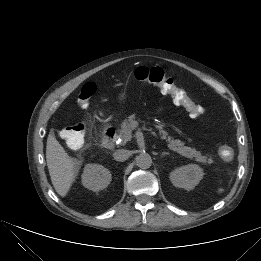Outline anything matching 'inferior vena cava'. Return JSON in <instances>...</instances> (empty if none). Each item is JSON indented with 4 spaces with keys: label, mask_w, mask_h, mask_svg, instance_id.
<instances>
[{
    "label": "inferior vena cava",
    "mask_w": 261,
    "mask_h": 261,
    "mask_svg": "<svg viewBox=\"0 0 261 261\" xmlns=\"http://www.w3.org/2000/svg\"><path fill=\"white\" fill-rule=\"evenodd\" d=\"M130 155H131V152L128 150H125V149L116 150L113 154L114 159L116 161H120V162L127 160L130 157Z\"/></svg>",
    "instance_id": "inferior-vena-cava-1"
}]
</instances>
